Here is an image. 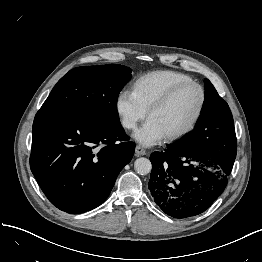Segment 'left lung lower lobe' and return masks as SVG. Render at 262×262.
Returning a JSON list of instances; mask_svg holds the SVG:
<instances>
[{"mask_svg":"<svg viewBox=\"0 0 262 262\" xmlns=\"http://www.w3.org/2000/svg\"><path fill=\"white\" fill-rule=\"evenodd\" d=\"M223 145L214 155L169 145L153 152L149 190L155 203L167 215L189 218L201 214L224 191L237 153V141Z\"/></svg>","mask_w":262,"mask_h":262,"instance_id":"0a47b994","label":"left lung lower lobe"}]
</instances>
